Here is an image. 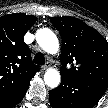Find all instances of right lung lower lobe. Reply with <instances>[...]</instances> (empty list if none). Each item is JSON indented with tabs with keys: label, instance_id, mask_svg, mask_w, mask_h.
Segmentation results:
<instances>
[{
	"label": "right lung lower lobe",
	"instance_id": "right-lung-lower-lobe-1",
	"mask_svg": "<svg viewBox=\"0 0 108 108\" xmlns=\"http://www.w3.org/2000/svg\"><path fill=\"white\" fill-rule=\"evenodd\" d=\"M28 88L29 85H27L15 95L0 98V108H12L17 105L23 99Z\"/></svg>",
	"mask_w": 108,
	"mask_h": 108
}]
</instances>
